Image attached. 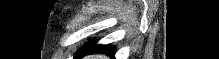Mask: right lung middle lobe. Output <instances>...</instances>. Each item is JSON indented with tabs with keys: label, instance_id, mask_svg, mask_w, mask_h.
I'll return each mask as SVG.
<instances>
[{
	"label": "right lung middle lobe",
	"instance_id": "1",
	"mask_svg": "<svg viewBox=\"0 0 219 59\" xmlns=\"http://www.w3.org/2000/svg\"><path fill=\"white\" fill-rule=\"evenodd\" d=\"M96 41H92L88 44H86L85 46H83L77 53V55L75 56V59H78V57L82 54H84L85 52L91 50L94 46H95Z\"/></svg>",
	"mask_w": 219,
	"mask_h": 59
}]
</instances>
